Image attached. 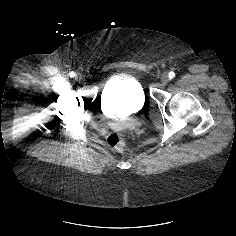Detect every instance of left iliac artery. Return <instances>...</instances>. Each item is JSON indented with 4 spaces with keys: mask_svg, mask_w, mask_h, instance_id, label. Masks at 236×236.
<instances>
[{
    "mask_svg": "<svg viewBox=\"0 0 236 236\" xmlns=\"http://www.w3.org/2000/svg\"><path fill=\"white\" fill-rule=\"evenodd\" d=\"M175 77V73L173 71L169 72V78L172 79Z\"/></svg>",
    "mask_w": 236,
    "mask_h": 236,
    "instance_id": "44dca946",
    "label": "left iliac artery"
}]
</instances>
